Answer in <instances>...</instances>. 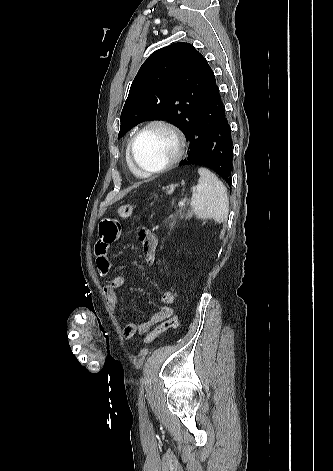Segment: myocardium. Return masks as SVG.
<instances>
[{
  "mask_svg": "<svg viewBox=\"0 0 333 471\" xmlns=\"http://www.w3.org/2000/svg\"><path fill=\"white\" fill-rule=\"evenodd\" d=\"M152 127H162L171 132L176 141V152L174 156L164 165L156 169H145L141 167L135 159V146L140 136ZM186 138L183 132L172 122L165 119H153L144 124L131 138L128 146V160L132 167L144 176H152L163 173L176 165L183 157L186 150Z\"/></svg>",
  "mask_w": 333,
  "mask_h": 471,
  "instance_id": "myocardium-1",
  "label": "myocardium"
}]
</instances>
